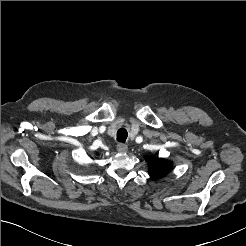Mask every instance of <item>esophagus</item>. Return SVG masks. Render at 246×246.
<instances>
[{
    "label": "esophagus",
    "instance_id": "1",
    "mask_svg": "<svg viewBox=\"0 0 246 246\" xmlns=\"http://www.w3.org/2000/svg\"><path fill=\"white\" fill-rule=\"evenodd\" d=\"M117 150H118V152H120V153H126V152L128 151V147H127V145L124 144V143H119V144L117 145Z\"/></svg>",
    "mask_w": 246,
    "mask_h": 246
}]
</instances>
